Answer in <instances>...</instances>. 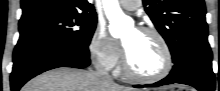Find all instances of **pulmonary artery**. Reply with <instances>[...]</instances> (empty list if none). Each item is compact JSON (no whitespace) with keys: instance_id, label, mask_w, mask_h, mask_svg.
Masks as SVG:
<instances>
[{"instance_id":"e3ab8cb5","label":"pulmonary artery","mask_w":220,"mask_h":91,"mask_svg":"<svg viewBox=\"0 0 220 91\" xmlns=\"http://www.w3.org/2000/svg\"><path fill=\"white\" fill-rule=\"evenodd\" d=\"M119 3L124 9L129 11L137 10L141 5V1L139 0H122Z\"/></svg>"}]
</instances>
